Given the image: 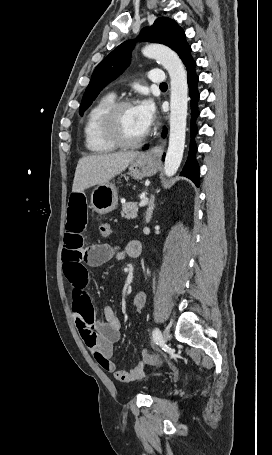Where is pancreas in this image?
I'll return each instance as SVG.
<instances>
[{"mask_svg":"<svg viewBox=\"0 0 272 455\" xmlns=\"http://www.w3.org/2000/svg\"><path fill=\"white\" fill-rule=\"evenodd\" d=\"M138 207L136 202H127L122 205L121 216L127 220L137 217Z\"/></svg>","mask_w":272,"mask_h":455,"instance_id":"cf45deb5","label":"pancreas"}]
</instances>
